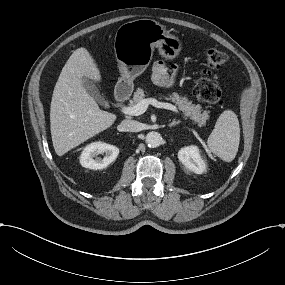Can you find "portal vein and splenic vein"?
Instances as JSON below:
<instances>
[{
	"instance_id": "18ae733b",
	"label": "portal vein and splenic vein",
	"mask_w": 285,
	"mask_h": 285,
	"mask_svg": "<svg viewBox=\"0 0 285 285\" xmlns=\"http://www.w3.org/2000/svg\"><path fill=\"white\" fill-rule=\"evenodd\" d=\"M148 104H152L156 108L168 109L178 115H181L180 110L175 105L159 102L154 99L143 100L134 106H123L119 111L128 116H139L147 110Z\"/></svg>"
}]
</instances>
